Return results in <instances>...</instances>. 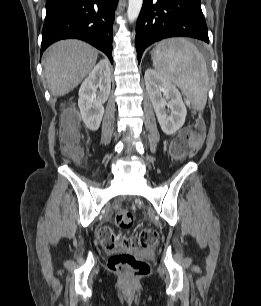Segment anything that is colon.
<instances>
[{"label":"colon","mask_w":261,"mask_h":306,"mask_svg":"<svg viewBox=\"0 0 261 306\" xmlns=\"http://www.w3.org/2000/svg\"><path fill=\"white\" fill-rule=\"evenodd\" d=\"M78 119L75 113L67 112L62 118V140L66 153L73 159L81 157L77 147ZM200 144V135L192 131H183L171 143V154L176 159H183L195 151ZM115 222L120 228H129L134 223L133 214L125 209H120L115 214ZM99 238L103 247L108 251H116L108 261L109 269L126 278L135 279L148 273V263L131 253L137 249L151 248L158 242V232L147 228L132 236L116 235L110 228L102 227Z\"/></svg>","instance_id":"5ec220e1"}]
</instances>
